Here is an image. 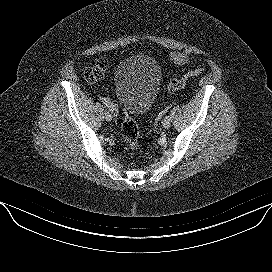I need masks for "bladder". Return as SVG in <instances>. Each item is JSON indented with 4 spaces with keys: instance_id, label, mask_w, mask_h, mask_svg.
<instances>
[{
    "instance_id": "31cf9c89",
    "label": "bladder",
    "mask_w": 272,
    "mask_h": 272,
    "mask_svg": "<svg viewBox=\"0 0 272 272\" xmlns=\"http://www.w3.org/2000/svg\"><path fill=\"white\" fill-rule=\"evenodd\" d=\"M161 82L160 65L147 55L127 58L115 70V93L126 111L132 115L145 113L151 108Z\"/></svg>"
}]
</instances>
